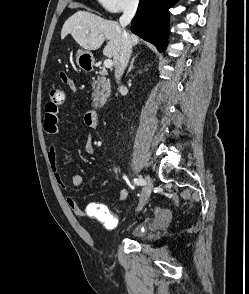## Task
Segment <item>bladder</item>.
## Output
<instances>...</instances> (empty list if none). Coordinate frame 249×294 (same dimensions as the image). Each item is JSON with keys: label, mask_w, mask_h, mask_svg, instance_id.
Listing matches in <instances>:
<instances>
[{"label": "bladder", "mask_w": 249, "mask_h": 294, "mask_svg": "<svg viewBox=\"0 0 249 294\" xmlns=\"http://www.w3.org/2000/svg\"><path fill=\"white\" fill-rule=\"evenodd\" d=\"M171 221V214L167 211H164L161 217L157 220L158 223L168 224ZM149 230L145 228L139 232V237H143Z\"/></svg>", "instance_id": "31cf9c89"}]
</instances>
